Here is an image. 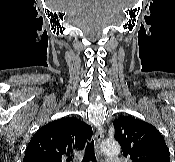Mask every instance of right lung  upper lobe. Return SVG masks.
I'll use <instances>...</instances> for the list:
<instances>
[{
  "mask_svg": "<svg viewBox=\"0 0 175 162\" xmlns=\"http://www.w3.org/2000/svg\"><path fill=\"white\" fill-rule=\"evenodd\" d=\"M92 134L89 125L73 117L52 121L34 134L23 162H71Z\"/></svg>",
  "mask_w": 175,
  "mask_h": 162,
  "instance_id": "right-lung-upper-lobe-1",
  "label": "right lung upper lobe"
}]
</instances>
